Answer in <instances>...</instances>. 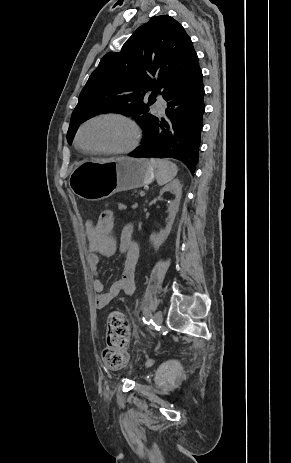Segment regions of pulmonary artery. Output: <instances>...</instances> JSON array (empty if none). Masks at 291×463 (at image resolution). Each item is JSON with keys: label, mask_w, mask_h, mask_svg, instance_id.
<instances>
[{"label": "pulmonary artery", "mask_w": 291, "mask_h": 463, "mask_svg": "<svg viewBox=\"0 0 291 463\" xmlns=\"http://www.w3.org/2000/svg\"><path fill=\"white\" fill-rule=\"evenodd\" d=\"M164 100L162 98H157L153 104V109L158 113L162 114L164 112Z\"/></svg>", "instance_id": "pulmonary-artery-1"}]
</instances>
